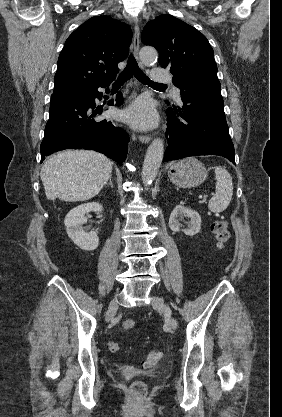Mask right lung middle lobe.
<instances>
[{
  "label": "right lung middle lobe",
  "instance_id": "right-lung-middle-lobe-1",
  "mask_svg": "<svg viewBox=\"0 0 282 417\" xmlns=\"http://www.w3.org/2000/svg\"><path fill=\"white\" fill-rule=\"evenodd\" d=\"M64 94H66V93H64ZM64 94H56V95H52V96H51V99L58 98V97H60V96H62V95H64Z\"/></svg>",
  "mask_w": 282,
  "mask_h": 417
}]
</instances>
